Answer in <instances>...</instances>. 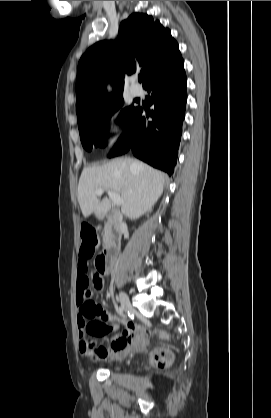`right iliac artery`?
I'll list each match as a JSON object with an SVG mask.
<instances>
[{"instance_id": "82829eb1", "label": "right iliac artery", "mask_w": 271, "mask_h": 418, "mask_svg": "<svg viewBox=\"0 0 271 418\" xmlns=\"http://www.w3.org/2000/svg\"><path fill=\"white\" fill-rule=\"evenodd\" d=\"M123 310H124L123 306L117 307V311H118L119 314H122Z\"/></svg>"}]
</instances>
